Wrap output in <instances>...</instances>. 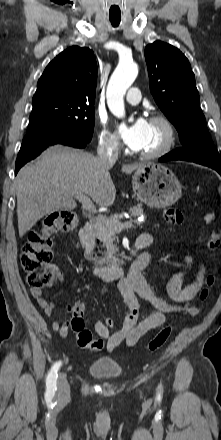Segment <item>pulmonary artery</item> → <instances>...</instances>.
<instances>
[{
    "label": "pulmonary artery",
    "instance_id": "1",
    "mask_svg": "<svg viewBox=\"0 0 221 440\" xmlns=\"http://www.w3.org/2000/svg\"><path fill=\"white\" fill-rule=\"evenodd\" d=\"M141 99L140 90L136 87H132L126 94V100L131 104H136Z\"/></svg>",
    "mask_w": 221,
    "mask_h": 440
}]
</instances>
